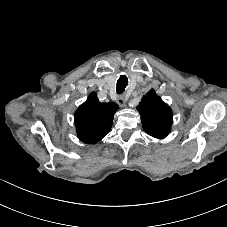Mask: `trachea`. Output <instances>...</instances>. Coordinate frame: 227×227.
<instances>
[{
  "instance_id": "trachea-1",
  "label": "trachea",
  "mask_w": 227,
  "mask_h": 227,
  "mask_svg": "<svg viewBox=\"0 0 227 227\" xmlns=\"http://www.w3.org/2000/svg\"><path fill=\"white\" fill-rule=\"evenodd\" d=\"M127 85H128L127 77L125 75H121L117 81L116 92L118 94L123 93Z\"/></svg>"
}]
</instances>
